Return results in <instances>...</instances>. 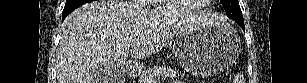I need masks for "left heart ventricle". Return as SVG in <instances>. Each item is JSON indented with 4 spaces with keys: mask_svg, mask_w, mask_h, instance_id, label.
Returning <instances> with one entry per match:
<instances>
[{
    "mask_svg": "<svg viewBox=\"0 0 307 83\" xmlns=\"http://www.w3.org/2000/svg\"><path fill=\"white\" fill-rule=\"evenodd\" d=\"M200 0H177V7L181 10H189L198 5Z\"/></svg>",
    "mask_w": 307,
    "mask_h": 83,
    "instance_id": "left-heart-ventricle-1",
    "label": "left heart ventricle"
}]
</instances>
